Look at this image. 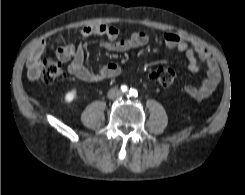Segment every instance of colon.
Returning a JSON list of instances; mask_svg holds the SVG:
<instances>
[{
	"mask_svg": "<svg viewBox=\"0 0 245 195\" xmlns=\"http://www.w3.org/2000/svg\"><path fill=\"white\" fill-rule=\"evenodd\" d=\"M65 75V65L54 56H48L43 61L42 80L52 83ZM176 77L175 69L171 67L158 68L151 72L150 79L160 87H167L173 83Z\"/></svg>",
	"mask_w": 245,
	"mask_h": 195,
	"instance_id": "obj_1",
	"label": "colon"
}]
</instances>
